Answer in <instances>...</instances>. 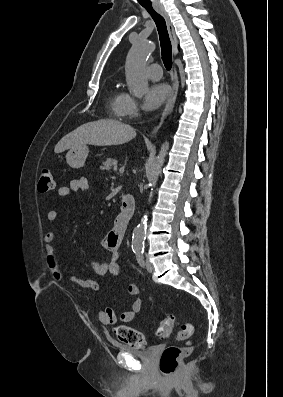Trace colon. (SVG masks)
<instances>
[{"mask_svg": "<svg viewBox=\"0 0 283 397\" xmlns=\"http://www.w3.org/2000/svg\"><path fill=\"white\" fill-rule=\"evenodd\" d=\"M55 188V181L52 172L49 169H43L39 175L38 190L42 193H47ZM175 326V319L173 316H166L157 329V335L161 338H169ZM194 327L191 323H183L180 325L178 338L181 340H188L192 337ZM115 334L117 338L130 346L141 348L144 345V336L141 332L125 326L120 325L116 327ZM193 347L190 343L180 347L176 345L167 346L160 357L159 368L162 375L166 377L173 376L179 370L181 361L186 356L192 353Z\"/></svg>", "mask_w": 283, "mask_h": 397, "instance_id": "colon-1", "label": "colon"}]
</instances>
